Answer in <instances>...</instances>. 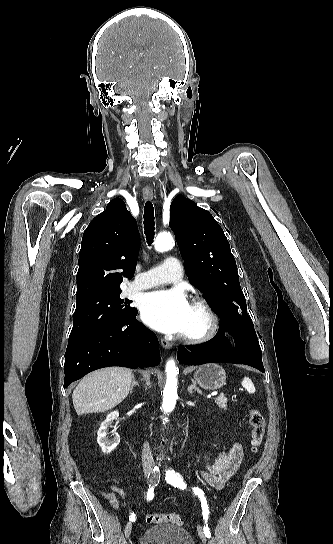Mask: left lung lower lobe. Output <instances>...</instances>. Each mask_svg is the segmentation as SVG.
Segmentation results:
<instances>
[{
    "label": "left lung lower lobe",
    "instance_id": "left-lung-lower-lobe-1",
    "mask_svg": "<svg viewBox=\"0 0 333 544\" xmlns=\"http://www.w3.org/2000/svg\"><path fill=\"white\" fill-rule=\"evenodd\" d=\"M226 331L234 338V342L226 338ZM178 360L186 365H200L210 360L246 364L264 373L260 347L252 341L241 325H221L217 335L211 340L199 345L181 346Z\"/></svg>",
    "mask_w": 333,
    "mask_h": 544
}]
</instances>
